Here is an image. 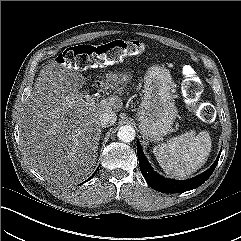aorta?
Returning <instances> with one entry per match:
<instances>
[{"mask_svg": "<svg viewBox=\"0 0 241 241\" xmlns=\"http://www.w3.org/2000/svg\"><path fill=\"white\" fill-rule=\"evenodd\" d=\"M117 136L121 141L128 143V142H131L132 140H134L135 130L133 127L128 126V125L121 126L119 128Z\"/></svg>", "mask_w": 241, "mask_h": 241, "instance_id": "obj_1", "label": "aorta"}]
</instances>
